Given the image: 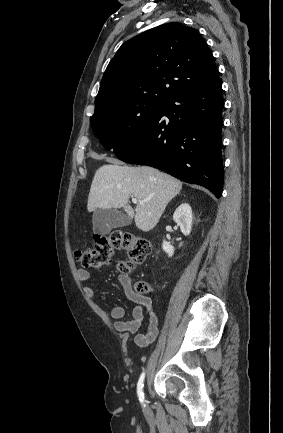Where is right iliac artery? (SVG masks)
I'll return each instance as SVG.
<instances>
[{"label": "right iliac artery", "instance_id": "82829eb1", "mask_svg": "<svg viewBox=\"0 0 283 433\" xmlns=\"http://www.w3.org/2000/svg\"><path fill=\"white\" fill-rule=\"evenodd\" d=\"M144 378H145V372H143L141 374L139 381H138V384H137V394H138L139 400L142 404L144 403V393H143Z\"/></svg>", "mask_w": 283, "mask_h": 433}]
</instances>
